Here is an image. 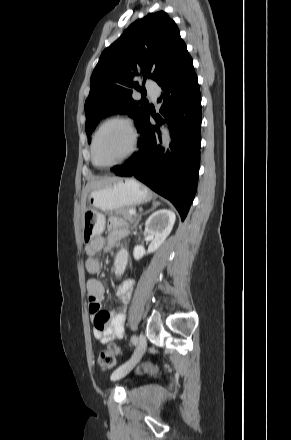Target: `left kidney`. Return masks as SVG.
I'll return each instance as SVG.
<instances>
[{"label": "left kidney", "instance_id": "obj_1", "mask_svg": "<svg viewBox=\"0 0 291 440\" xmlns=\"http://www.w3.org/2000/svg\"><path fill=\"white\" fill-rule=\"evenodd\" d=\"M175 220V213L169 209H160L152 213L145 222V231L152 235L153 239L147 251L142 245H136L134 258L139 260L144 255L155 252L171 233Z\"/></svg>", "mask_w": 291, "mask_h": 440}]
</instances>
